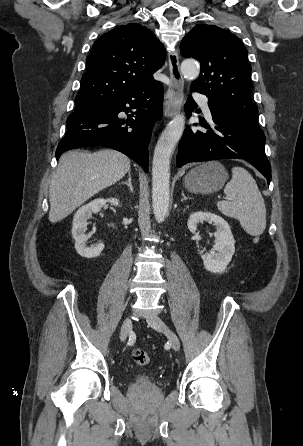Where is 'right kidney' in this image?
<instances>
[{"instance_id": "1", "label": "right kidney", "mask_w": 303, "mask_h": 446, "mask_svg": "<svg viewBox=\"0 0 303 446\" xmlns=\"http://www.w3.org/2000/svg\"><path fill=\"white\" fill-rule=\"evenodd\" d=\"M107 202H110L114 206H119V200L116 198H99L79 208L74 215L71 232L73 239L75 240V249L82 257L88 259L98 257L104 249L103 243L87 247L85 232L87 231V220L91 218L92 213H98Z\"/></svg>"}]
</instances>
